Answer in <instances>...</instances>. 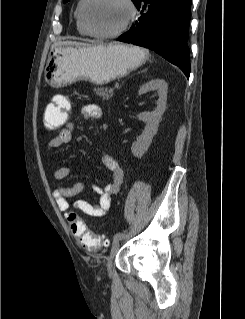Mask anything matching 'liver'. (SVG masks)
<instances>
[{
	"label": "liver",
	"mask_w": 245,
	"mask_h": 319,
	"mask_svg": "<svg viewBox=\"0 0 245 319\" xmlns=\"http://www.w3.org/2000/svg\"><path fill=\"white\" fill-rule=\"evenodd\" d=\"M69 45H75V46H83V45H88L80 42H75V41H63V42H57L52 46V50L58 46H69Z\"/></svg>",
	"instance_id": "liver-1"
}]
</instances>
